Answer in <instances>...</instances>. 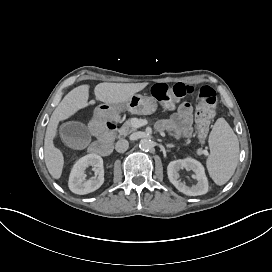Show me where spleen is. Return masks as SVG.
I'll list each match as a JSON object with an SVG mask.
<instances>
[{
    "mask_svg": "<svg viewBox=\"0 0 272 272\" xmlns=\"http://www.w3.org/2000/svg\"><path fill=\"white\" fill-rule=\"evenodd\" d=\"M210 155L206 169L216 185H224L233 176L239 158V141L224 118L217 119L208 136Z\"/></svg>",
    "mask_w": 272,
    "mask_h": 272,
    "instance_id": "3e777b00",
    "label": "spleen"
}]
</instances>
